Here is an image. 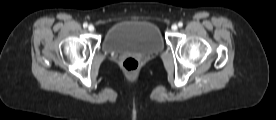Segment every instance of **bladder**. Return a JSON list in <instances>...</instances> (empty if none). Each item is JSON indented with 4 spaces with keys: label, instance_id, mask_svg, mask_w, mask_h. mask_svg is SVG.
I'll list each match as a JSON object with an SVG mask.
<instances>
[{
    "label": "bladder",
    "instance_id": "bladder-1",
    "mask_svg": "<svg viewBox=\"0 0 276 120\" xmlns=\"http://www.w3.org/2000/svg\"><path fill=\"white\" fill-rule=\"evenodd\" d=\"M103 50L110 54L158 53L164 40L157 25L147 21L124 20L113 24L106 32Z\"/></svg>",
    "mask_w": 276,
    "mask_h": 120
}]
</instances>
